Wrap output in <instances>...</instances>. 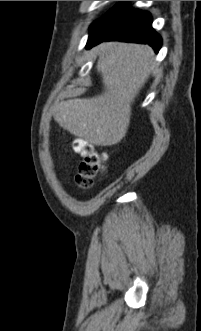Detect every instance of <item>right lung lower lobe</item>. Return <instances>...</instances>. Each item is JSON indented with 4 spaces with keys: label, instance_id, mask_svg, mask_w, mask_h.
Instances as JSON below:
<instances>
[{
    "label": "right lung lower lobe",
    "instance_id": "98d812e1",
    "mask_svg": "<svg viewBox=\"0 0 201 331\" xmlns=\"http://www.w3.org/2000/svg\"><path fill=\"white\" fill-rule=\"evenodd\" d=\"M119 40L149 44L158 53L162 39L152 28L151 15L119 3L90 29L87 49L102 41Z\"/></svg>",
    "mask_w": 201,
    "mask_h": 331
}]
</instances>
